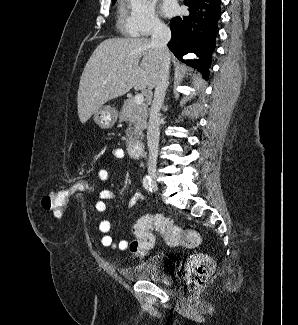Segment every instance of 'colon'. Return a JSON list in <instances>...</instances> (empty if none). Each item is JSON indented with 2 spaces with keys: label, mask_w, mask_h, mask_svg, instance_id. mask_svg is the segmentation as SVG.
<instances>
[{
  "label": "colon",
  "mask_w": 298,
  "mask_h": 325,
  "mask_svg": "<svg viewBox=\"0 0 298 325\" xmlns=\"http://www.w3.org/2000/svg\"><path fill=\"white\" fill-rule=\"evenodd\" d=\"M91 187V180L83 174H79L68 187L53 190L42 197V207L52 211L56 217H62L68 207L70 198L79 191ZM160 233L165 243L172 247H196L201 242L199 233L194 230L181 229L164 216H144L133 227L134 239L129 249L133 254L146 255L154 246L152 231ZM212 260L205 255H193L185 264L183 277L191 289L195 290L203 286L213 271Z\"/></svg>",
  "instance_id": "5ec220e1"
}]
</instances>
